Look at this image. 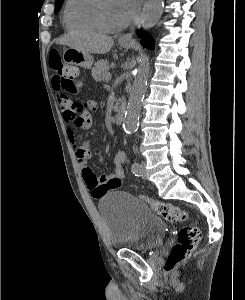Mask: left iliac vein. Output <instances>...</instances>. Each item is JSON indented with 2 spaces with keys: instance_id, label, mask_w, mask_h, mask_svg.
<instances>
[{
  "instance_id": "1",
  "label": "left iliac vein",
  "mask_w": 245,
  "mask_h": 300,
  "mask_svg": "<svg viewBox=\"0 0 245 300\" xmlns=\"http://www.w3.org/2000/svg\"><path fill=\"white\" fill-rule=\"evenodd\" d=\"M140 166H141V177L143 179H147V174H146V169H145V166H146L145 162H142L140 164Z\"/></svg>"
}]
</instances>
